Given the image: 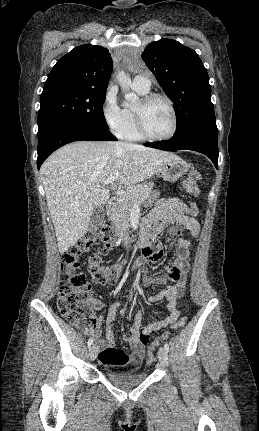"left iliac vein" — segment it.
<instances>
[{
    "label": "left iliac vein",
    "mask_w": 259,
    "mask_h": 431,
    "mask_svg": "<svg viewBox=\"0 0 259 431\" xmlns=\"http://www.w3.org/2000/svg\"><path fill=\"white\" fill-rule=\"evenodd\" d=\"M158 358H159V362L163 367H167L168 366V362H169V358H168V353L165 350V348L161 347L158 351Z\"/></svg>",
    "instance_id": "1"
}]
</instances>
